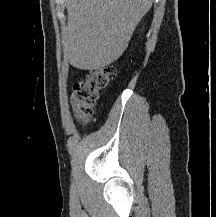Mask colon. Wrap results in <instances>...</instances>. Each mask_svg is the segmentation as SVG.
I'll return each instance as SVG.
<instances>
[{"mask_svg": "<svg viewBox=\"0 0 216 217\" xmlns=\"http://www.w3.org/2000/svg\"><path fill=\"white\" fill-rule=\"evenodd\" d=\"M114 76L115 69L106 66L89 71L85 80L75 84L72 104L78 122L86 124L91 119L100 91L108 85Z\"/></svg>", "mask_w": 216, "mask_h": 217, "instance_id": "1", "label": "colon"}]
</instances>
